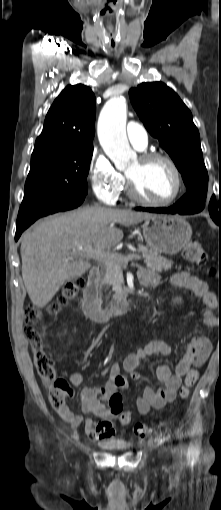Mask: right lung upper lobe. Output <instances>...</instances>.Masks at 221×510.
<instances>
[{
	"mask_svg": "<svg viewBox=\"0 0 221 510\" xmlns=\"http://www.w3.org/2000/svg\"><path fill=\"white\" fill-rule=\"evenodd\" d=\"M95 96L82 84L68 85L49 109L32 157L92 146Z\"/></svg>",
	"mask_w": 221,
	"mask_h": 510,
	"instance_id": "obj_1",
	"label": "right lung upper lobe"
}]
</instances>
